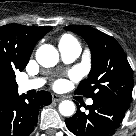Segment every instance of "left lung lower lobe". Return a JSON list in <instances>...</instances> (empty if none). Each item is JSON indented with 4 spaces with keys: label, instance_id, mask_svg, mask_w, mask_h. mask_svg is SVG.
<instances>
[{
    "label": "left lung lower lobe",
    "instance_id": "1",
    "mask_svg": "<svg viewBox=\"0 0 136 136\" xmlns=\"http://www.w3.org/2000/svg\"><path fill=\"white\" fill-rule=\"evenodd\" d=\"M81 112L77 105L74 116L65 120L68 129L77 136H108L121 123L129 106L122 103L93 99V104Z\"/></svg>",
    "mask_w": 136,
    "mask_h": 136
}]
</instances>
